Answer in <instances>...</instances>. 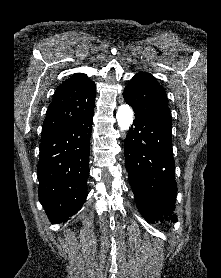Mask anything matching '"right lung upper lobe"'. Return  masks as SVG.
I'll return each mask as SVG.
<instances>
[{
	"mask_svg": "<svg viewBox=\"0 0 221 278\" xmlns=\"http://www.w3.org/2000/svg\"><path fill=\"white\" fill-rule=\"evenodd\" d=\"M96 86L83 73L74 74L56 90L43 123L41 141L86 116L95 106Z\"/></svg>",
	"mask_w": 221,
	"mask_h": 278,
	"instance_id": "cb5924a9",
	"label": "right lung upper lobe"
}]
</instances>
